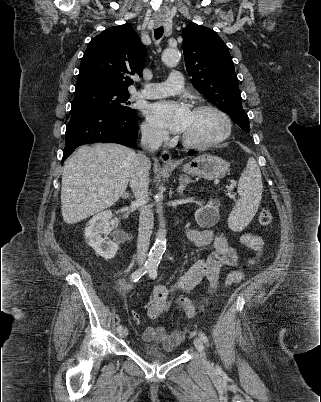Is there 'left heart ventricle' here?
Returning <instances> with one entry per match:
<instances>
[{
    "instance_id": "left-heart-ventricle-1",
    "label": "left heart ventricle",
    "mask_w": 321,
    "mask_h": 402,
    "mask_svg": "<svg viewBox=\"0 0 321 402\" xmlns=\"http://www.w3.org/2000/svg\"><path fill=\"white\" fill-rule=\"evenodd\" d=\"M224 130L222 118L213 111L201 110L192 111L185 130L184 136L192 141H210L218 136Z\"/></svg>"
}]
</instances>
